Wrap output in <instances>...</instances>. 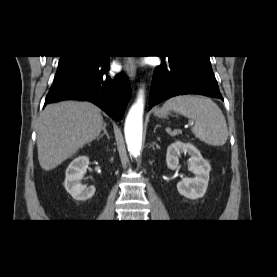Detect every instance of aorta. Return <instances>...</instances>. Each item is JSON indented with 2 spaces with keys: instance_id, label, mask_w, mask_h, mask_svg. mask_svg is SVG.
I'll list each match as a JSON object with an SVG mask.
<instances>
[{
  "instance_id": "762f6f07",
  "label": "aorta",
  "mask_w": 277,
  "mask_h": 277,
  "mask_svg": "<svg viewBox=\"0 0 277 277\" xmlns=\"http://www.w3.org/2000/svg\"><path fill=\"white\" fill-rule=\"evenodd\" d=\"M144 112V91L140 90L125 121V139L129 152L137 157L141 151Z\"/></svg>"
}]
</instances>
